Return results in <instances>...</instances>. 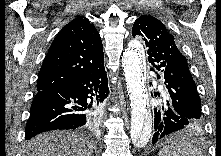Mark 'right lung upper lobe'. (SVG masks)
<instances>
[{"label":"right lung upper lobe","instance_id":"obj_1","mask_svg":"<svg viewBox=\"0 0 221 156\" xmlns=\"http://www.w3.org/2000/svg\"><path fill=\"white\" fill-rule=\"evenodd\" d=\"M104 66L102 41L84 16L69 22L51 44L41 66L37 92L55 90Z\"/></svg>","mask_w":221,"mask_h":156}]
</instances>
